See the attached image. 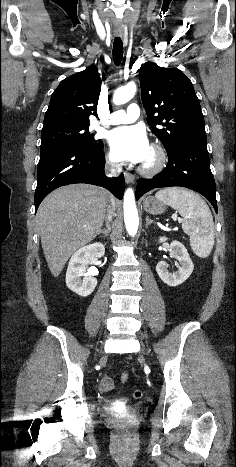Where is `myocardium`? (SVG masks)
<instances>
[{"mask_svg":"<svg viewBox=\"0 0 236 467\" xmlns=\"http://www.w3.org/2000/svg\"><path fill=\"white\" fill-rule=\"evenodd\" d=\"M151 152L153 154V161L151 163H143L140 166V172L148 176L161 172L168 162L167 152L162 145L158 143L152 144Z\"/></svg>","mask_w":236,"mask_h":467,"instance_id":"obj_1","label":"myocardium"}]
</instances>
